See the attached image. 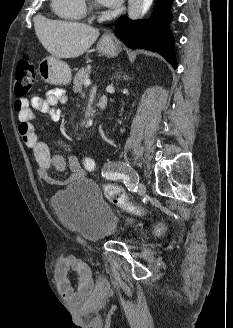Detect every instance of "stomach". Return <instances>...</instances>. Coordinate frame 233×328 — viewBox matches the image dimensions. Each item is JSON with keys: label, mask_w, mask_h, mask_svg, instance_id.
<instances>
[{"label": "stomach", "mask_w": 233, "mask_h": 328, "mask_svg": "<svg viewBox=\"0 0 233 328\" xmlns=\"http://www.w3.org/2000/svg\"><path fill=\"white\" fill-rule=\"evenodd\" d=\"M97 50L101 54L116 56L120 47L110 35H104L97 43ZM41 79L53 85H67L71 81V69L67 63L54 56L43 59L38 66Z\"/></svg>", "instance_id": "stomach-1"}]
</instances>
